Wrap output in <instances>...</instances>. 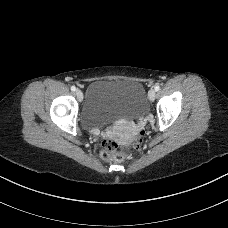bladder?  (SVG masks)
<instances>
[{
    "label": "bladder",
    "instance_id": "obj_1",
    "mask_svg": "<svg viewBox=\"0 0 228 228\" xmlns=\"http://www.w3.org/2000/svg\"><path fill=\"white\" fill-rule=\"evenodd\" d=\"M146 113V92L140 82L97 80L87 87L81 121L86 128L108 127Z\"/></svg>",
    "mask_w": 228,
    "mask_h": 228
}]
</instances>
